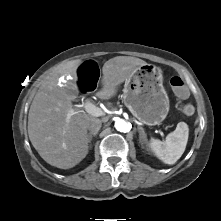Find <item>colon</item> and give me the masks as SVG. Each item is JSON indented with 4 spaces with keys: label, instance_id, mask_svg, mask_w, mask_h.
Returning <instances> with one entry per match:
<instances>
[{
    "label": "colon",
    "instance_id": "1",
    "mask_svg": "<svg viewBox=\"0 0 221 221\" xmlns=\"http://www.w3.org/2000/svg\"><path fill=\"white\" fill-rule=\"evenodd\" d=\"M99 73L100 65L96 60H85L74 71V78L77 81L74 85L75 94L79 97L89 96L97 87ZM170 86L178 97L185 98L188 95V90L181 77H172ZM181 111L185 116H191L194 113V107L191 104H184Z\"/></svg>",
    "mask_w": 221,
    "mask_h": 221
}]
</instances>
